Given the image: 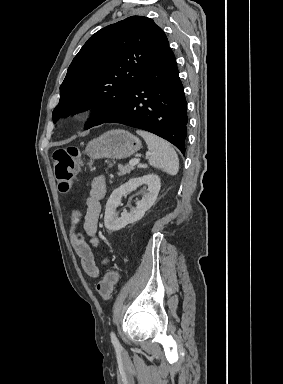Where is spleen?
<instances>
[{
    "label": "spleen",
    "mask_w": 283,
    "mask_h": 384,
    "mask_svg": "<svg viewBox=\"0 0 283 384\" xmlns=\"http://www.w3.org/2000/svg\"><path fill=\"white\" fill-rule=\"evenodd\" d=\"M136 134L144 138L149 152H153L149 158L150 166L163 170L170 176H176L179 170V160L171 144H168L162 138H158V136H154V134H149V132H140L138 130Z\"/></svg>",
    "instance_id": "spleen-1"
}]
</instances>
